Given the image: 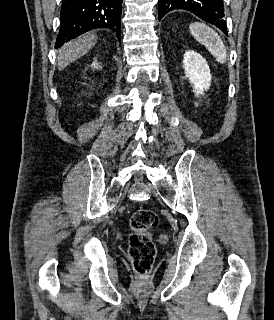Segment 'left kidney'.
Here are the masks:
<instances>
[{
  "instance_id": "obj_1",
  "label": "left kidney",
  "mask_w": 274,
  "mask_h": 320,
  "mask_svg": "<svg viewBox=\"0 0 274 320\" xmlns=\"http://www.w3.org/2000/svg\"><path fill=\"white\" fill-rule=\"evenodd\" d=\"M183 68L185 76L190 84H193V92L195 96H202L211 86L210 68L205 60L198 52L188 50L183 58Z\"/></svg>"
}]
</instances>
